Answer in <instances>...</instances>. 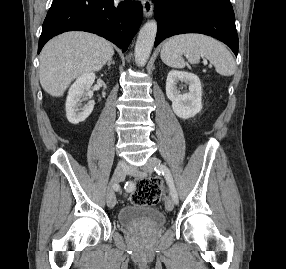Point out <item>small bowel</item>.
Segmentation results:
<instances>
[{"label":"small bowel","mask_w":286,"mask_h":269,"mask_svg":"<svg viewBox=\"0 0 286 269\" xmlns=\"http://www.w3.org/2000/svg\"><path fill=\"white\" fill-rule=\"evenodd\" d=\"M132 189H133V185H132V187L126 188V190H127L128 192H130Z\"/></svg>","instance_id":"c3829d8e"}]
</instances>
